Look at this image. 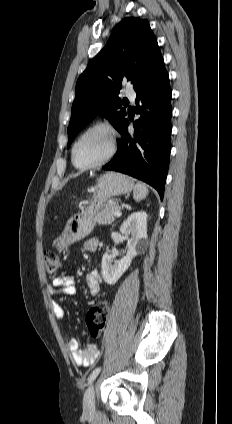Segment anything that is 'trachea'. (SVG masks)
Returning <instances> with one entry per match:
<instances>
[{"mask_svg": "<svg viewBox=\"0 0 232 424\" xmlns=\"http://www.w3.org/2000/svg\"><path fill=\"white\" fill-rule=\"evenodd\" d=\"M124 103H126V104H127V103H129V101H128V100H125V101H124Z\"/></svg>", "mask_w": 232, "mask_h": 424, "instance_id": "1", "label": "trachea"}]
</instances>
